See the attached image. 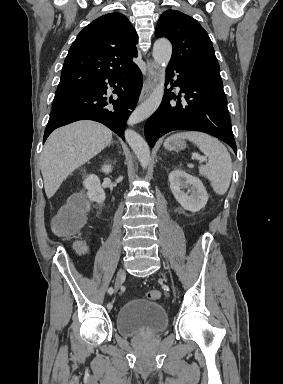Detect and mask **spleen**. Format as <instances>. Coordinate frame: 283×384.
I'll return each mask as SVG.
<instances>
[{"label": "spleen", "instance_id": "1", "mask_svg": "<svg viewBox=\"0 0 283 384\" xmlns=\"http://www.w3.org/2000/svg\"><path fill=\"white\" fill-rule=\"evenodd\" d=\"M173 140H190L196 144L197 148L205 154L208 158L206 166H199V174L208 178L214 192L223 196L226 194L231 178H232V160L231 156L216 138H211L208 134H201V132H181V134H174L164 142V148L171 150L169 144Z\"/></svg>", "mask_w": 283, "mask_h": 384}]
</instances>
